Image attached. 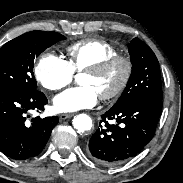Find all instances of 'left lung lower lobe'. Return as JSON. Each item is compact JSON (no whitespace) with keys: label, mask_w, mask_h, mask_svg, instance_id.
<instances>
[{"label":"left lung lower lobe","mask_w":183,"mask_h":183,"mask_svg":"<svg viewBox=\"0 0 183 183\" xmlns=\"http://www.w3.org/2000/svg\"><path fill=\"white\" fill-rule=\"evenodd\" d=\"M162 104V100L136 99L108 110L89 141L92 159L114 166L136 156L154 137ZM113 119L116 123L109 124Z\"/></svg>","instance_id":"left-lung-lower-lobe-1"}]
</instances>
